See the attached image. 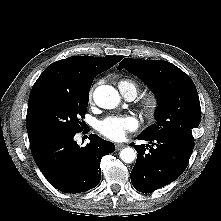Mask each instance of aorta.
I'll list each match as a JSON object with an SVG mask.
<instances>
[{
  "instance_id": "aorta-1",
  "label": "aorta",
  "mask_w": 221,
  "mask_h": 221,
  "mask_svg": "<svg viewBox=\"0 0 221 221\" xmlns=\"http://www.w3.org/2000/svg\"><path fill=\"white\" fill-rule=\"evenodd\" d=\"M93 99L104 109H113L120 103L118 91L109 85L97 87L93 93ZM120 158L124 163H132L136 159V151L131 147H125L120 151Z\"/></svg>"
}]
</instances>
